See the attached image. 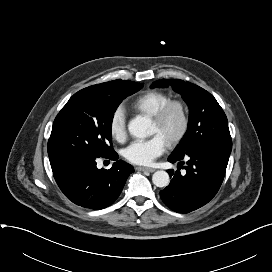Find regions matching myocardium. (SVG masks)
Returning a JSON list of instances; mask_svg holds the SVG:
<instances>
[{
	"mask_svg": "<svg viewBox=\"0 0 272 272\" xmlns=\"http://www.w3.org/2000/svg\"><path fill=\"white\" fill-rule=\"evenodd\" d=\"M173 110L178 111L181 124L177 133L167 141V145L169 147L177 146L188 133L190 127V117L187 105L182 100L170 99L151 116L154 123L161 125L169 113Z\"/></svg>",
	"mask_w": 272,
	"mask_h": 272,
	"instance_id": "1",
	"label": "myocardium"
}]
</instances>
